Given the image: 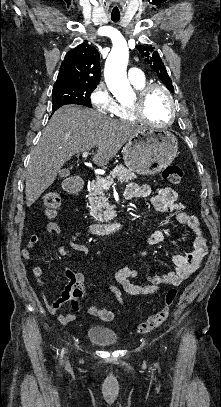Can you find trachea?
I'll use <instances>...</instances> for the list:
<instances>
[{
    "mask_svg": "<svg viewBox=\"0 0 221 407\" xmlns=\"http://www.w3.org/2000/svg\"><path fill=\"white\" fill-rule=\"evenodd\" d=\"M111 19L112 21L117 22L120 19V15H111Z\"/></svg>",
    "mask_w": 221,
    "mask_h": 407,
    "instance_id": "3493384b",
    "label": "trachea"
}]
</instances>
